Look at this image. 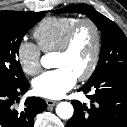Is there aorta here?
<instances>
[{
  "label": "aorta",
  "instance_id": "1",
  "mask_svg": "<svg viewBox=\"0 0 127 127\" xmlns=\"http://www.w3.org/2000/svg\"><path fill=\"white\" fill-rule=\"evenodd\" d=\"M41 64L44 68H50L52 64V60L49 56H43L41 58ZM73 106L69 102H61L56 107V113L61 119H70L73 116Z\"/></svg>",
  "mask_w": 127,
  "mask_h": 127
}]
</instances>
